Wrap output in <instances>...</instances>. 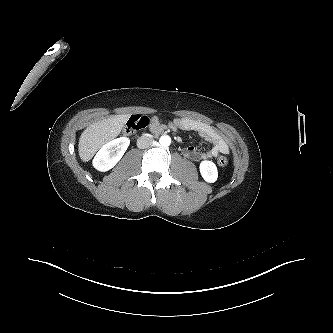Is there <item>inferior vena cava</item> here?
<instances>
[{"mask_svg":"<svg viewBox=\"0 0 333 333\" xmlns=\"http://www.w3.org/2000/svg\"><path fill=\"white\" fill-rule=\"evenodd\" d=\"M152 144V138L149 136H141L137 140V147L140 149L148 148Z\"/></svg>","mask_w":333,"mask_h":333,"instance_id":"1","label":"inferior vena cava"}]
</instances>
